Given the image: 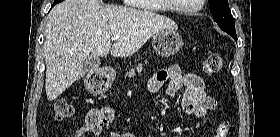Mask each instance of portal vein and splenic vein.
Wrapping results in <instances>:
<instances>
[{
	"instance_id": "portal-vein-and-splenic-vein-1",
	"label": "portal vein and splenic vein",
	"mask_w": 280,
	"mask_h": 137,
	"mask_svg": "<svg viewBox=\"0 0 280 137\" xmlns=\"http://www.w3.org/2000/svg\"><path fill=\"white\" fill-rule=\"evenodd\" d=\"M119 39V35H113L112 36V40L114 41V40H118Z\"/></svg>"
}]
</instances>
